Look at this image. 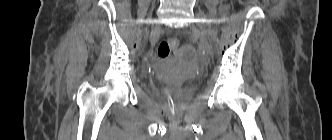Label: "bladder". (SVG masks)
<instances>
[{
  "label": "bladder",
  "mask_w": 332,
  "mask_h": 140,
  "mask_svg": "<svg viewBox=\"0 0 332 140\" xmlns=\"http://www.w3.org/2000/svg\"><path fill=\"white\" fill-rule=\"evenodd\" d=\"M170 93H167L166 91H157L156 96L158 100L162 103H165L169 97ZM175 106L177 108H180L185 102L189 99V92L188 91H182L172 96Z\"/></svg>",
  "instance_id": "obj_1"
}]
</instances>
